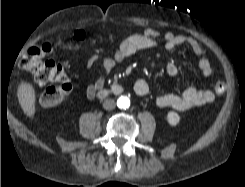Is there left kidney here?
<instances>
[{"mask_svg":"<svg viewBox=\"0 0 245 187\" xmlns=\"http://www.w3.org/2000/svg\"><path fill=\"white\" fill-rule=\"evenodd\" d=\"M180 121V116L178 115V113L170 111L167 114V122L171 125V126H176Z\"/></svg>","mask_w":245,"mask_h":187,"instance_id":"5707ae66","label":"left kidney"}]
</instances>
